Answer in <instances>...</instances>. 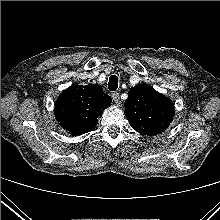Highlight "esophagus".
<instances>
[{
	"label": "esophagus",
	"instance_id": "esophagus-1",
	"mask_svg": "<svg viewBox=\"0 0 220 220\" xmlns=\"http://www.w3.org/2000/svg\"><path fill=\"white\" fill-rule=\"evenodd\" d=\"M112 98H113V100H114V102H115L116 104H119V103H120L119 93H117V92L113 93V94H112Z\"/></svg>",
	"mask_w": 220,
	"mask_h": 220
}]
</instances>
